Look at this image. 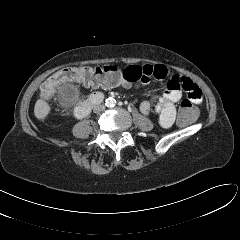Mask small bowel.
Instances as JSON below:
<instances>
[{"label":"small bowel","instance_id":"small-bowel-1","mask_svg":"<svg viewBox=\"0 0 240 240\" xmlns=\"http://www.w3.org/2000/svg\"><path fill=\"white\" fill-rule=\"evenodd\" d=\"M151 78L167 80L166 90L153 96L150 100L143 101L140 110L144 115H149L154 104V111L158 115L159 124L163 128H168L173 124L176 116V104L182 98L183 93L194 104H199L202 101V92L191 79L177 72L171 73L166 66L161 64L128 66L123 71V78L118 85L131 86L135 83L146 85ZM93 87L110 88L113 86L100 85Z\"/></svg>","mask_w":240,"mask_h":240}]
</instances>
